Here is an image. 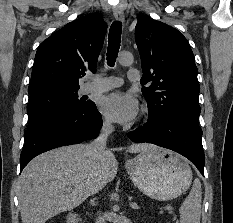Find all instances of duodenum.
Instances as JSON below:
<instances>
[{"mask_svg": "<svg viewBox=\"0 0 233 223\" xmlns=\"http://www.w3.org/2000/svg\"><path fill=\"white\" fill-rule=\"evenodd\" d=\"M66 222L67 223H82L79 215L75 212H70L67 215Z\"/></svg>", "mask_w": 233, "mask_h": 223, "instance_id": "1", "label": "duodenum"}]
</instances>
